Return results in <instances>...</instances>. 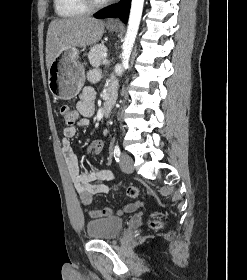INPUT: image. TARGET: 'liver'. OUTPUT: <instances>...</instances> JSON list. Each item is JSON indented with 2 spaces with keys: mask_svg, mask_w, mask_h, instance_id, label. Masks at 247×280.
Masks as SVG:
<instances>
[{
  "mask_svg": "<svg viewBox=\"0 0 247 280\" xmlns=\"http://www.w3.org/2000/svg\"><path fill=\"white\" fill-rule=\"evenodd\" d=\"M104 22L91 17L51 21L46 37V67L67 47H86L97 43L104 33Z\"/></svg>",
  "mask_w": 247,
  "mask_h": 280,
  "instance_id": "6515ba94",
  "label": "liver"
}]
</instances>
